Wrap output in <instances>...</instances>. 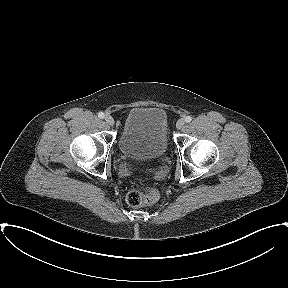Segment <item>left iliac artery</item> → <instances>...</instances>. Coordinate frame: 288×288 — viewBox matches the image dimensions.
I'll use <instances>...</instances> for the list:
<instances>
[{
  "instance_id": "1",
  "label": "left iliac artery",
  "mask_w": 288,
  "mask_h": 288,
  "mask_svg": "<svg viewBox=\"0 0 288 288\" xmlns=\"http://www.w3.org/2000/svg\"><path fill=\"white\" fill-rule=\"evenodd\" d=\"M191 120H192V117H191V116H186L185 121H186L187 123L191 122Z\"/></svg>"
}]
</instances>
